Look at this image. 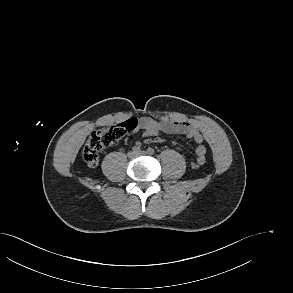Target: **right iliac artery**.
Listing matches in <instances>:
<instances>
[{
    "instance_id": "obj_1",
    "label": "right iliac artery",
    "mask_w": 293,
    "mask_h": 293,
    "mask_svg": "<svg viewBox=\"0 0 293 293\" xmlns=\"http://www.w3.org/2000/svg\"><path fill=\"white\" fill-rule=\"evenodd\" d=\"M134 152H136V153H138V152H140V146H135V147H133V149H132Z\"/></svg>"
}]
</instances>
